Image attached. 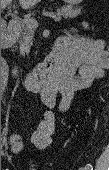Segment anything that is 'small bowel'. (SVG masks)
<instances>
[{"instance_id":"small-bowel-1","label":"small bowel","mask_w":109,"mask_h":170,"mask_svg":"<svg viewBox=\"0 0 109 170\" xmlns=\"http://www.w3.org/2000/svg\"><path fill=\"white\" fill-rule=\"evenodd\" d=\"M78 43L85 47H98L100 45L97 41H91L88 39H78ZM96 78V74L92 70H88L86 73V82H90ZM52 94L50 92H44V100L49 103L51 101ZM55 117L52 112H46L43 121L38 127L37 132L33 137V144L39 148L46 147L50 140L51 134L54 129Z\"/></svg>"}]
</instances>
